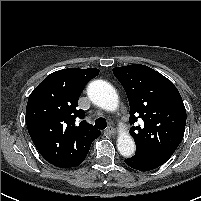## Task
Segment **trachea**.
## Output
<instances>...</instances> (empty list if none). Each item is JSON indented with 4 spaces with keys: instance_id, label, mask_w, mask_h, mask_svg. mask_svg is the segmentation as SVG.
<instances>
[{
    "instance_id": "1",
    "label": "trachea",
    "mask_w": 201,
    "mask_h": 201,
    "mask_svg": "<svg viewBox=\"0 0 201 201\" xmlns=\"http://www.w3.org/2000/svg\"><path fill=\"white\" fill-rule=\"evenodd\" d=\"M106 126H107V122L104 118L100 117L95 120V127L99 128V129H105Z\"/></svg>"
}]
</instances>
